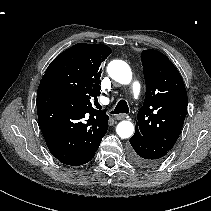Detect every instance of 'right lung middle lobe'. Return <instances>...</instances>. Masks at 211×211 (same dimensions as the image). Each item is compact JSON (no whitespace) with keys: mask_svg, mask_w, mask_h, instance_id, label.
Returning <instances> with one entry per match:
<instances>
[{"mask_svg":"<svg viewBox=\"0 0 211 211\" xmlns=\"http://www.w3.org/2000/svg\"><path fill=\"white\" fill-rule=\"evenodd\" d=\"M50 84H51V86H52L53 88L68 93L67 90H65V89H63V88H60V87L57 85V81H56V80L51 81Z\"/></svg>","mask_w":211,"mask_h":211,"instance_id":"obj_1","label":"right lung middle lobe"}]
</instances>
